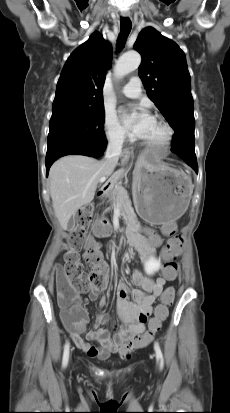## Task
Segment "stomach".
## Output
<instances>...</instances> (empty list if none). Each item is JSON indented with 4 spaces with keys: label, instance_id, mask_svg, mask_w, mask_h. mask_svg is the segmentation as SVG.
Returning a JSON list of instances; mask_svg holds the SVG:
<instances>
[{
    "label": "stomach",
    "instance_id": "obj_1",
    "mask_svg": "<svg viewBox=\"0 0 230 413\" xmlns=\"http://www.w3.org/2000/svg\"><path fill=\"white\" fill-rule=\"evenodd\" d=\"M193 192L191 178L183 171L148 155L133 171L132 194L138 215L152 225L173 222L188 208Z\"/></svg>",
    "mask_w": 230,
    "mask_h": 413
}]
</instances>
